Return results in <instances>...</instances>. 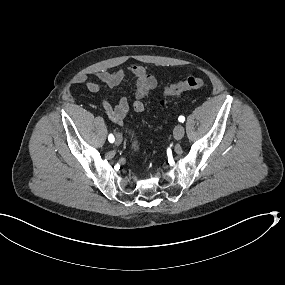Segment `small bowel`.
Segmentation results:
<instances>
[{
  "label": "small bowel",
  "instance_id": "obj_1",
  "mask_svg": "<svg viewBox=\"0 0 285 285\" xmlns=\"http://www.w3.org/2000/svg\"><path fill=\"white\" fill-rule=\"evenodd\" d=\"M127 77L135 79V99L132 108L135 112L141 113L145 109L144 98L156 87L157 76L149 72L143 66H132L127 70H118L115 72L99 71L96 78L99 82L115 87L124 81ZM99 82L89 80L85 75L76 78V83L84 86L91 93H98L101 90ZM103 109L109 119L117 124L122 125L125 117L129 112V103L126 98H120L116 104H111L108 100H103Z\"/></svg>",
  "mask_w": 285,
  "mask_h": 285
}]
</instances>
